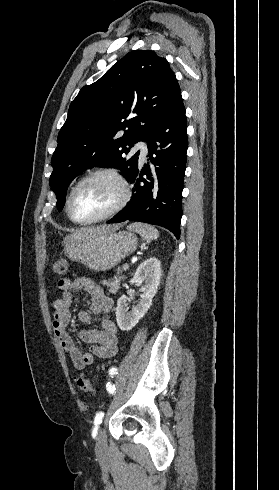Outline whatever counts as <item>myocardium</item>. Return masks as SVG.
Wrapping results in <instances>:
<instances>
[{"label": "myocardium", "mask_w": 279, "mask_h": 490, "mask_svg": "<svg viewBox=\"0 0 279 490\" xmlns=\"http://www.w3.org/2000/svg\"><path fill=\"white\" fill-rule=\"evenodd\" d=\"M100 176H106L110 177L113 180H115L120 188V197L119 199L105 212L100 214L99 216H96L92 219L89 220H77L74 216V211H73V203H74V198L77 193V190L79 187L87 180L94 178V177H100ZM131 197V189L129 186V183L125 176L116 168L114 167H99V168H94L92 170H89L85 174H83L73 185L71 188L70 192V197H69V215L71 219L80 225H88L96 222H100L103 220H106L117 213H119L128 203Z\"/></svg>", "instance_id": "obj_1"}]
</instances>
